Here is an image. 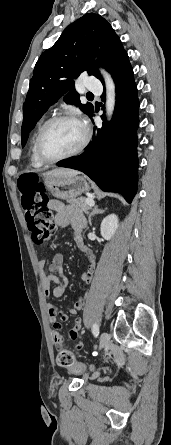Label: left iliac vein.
<instances>
[{
  "mask_svg": "<svg viewBox=\"0 0 171 445\" xmlns=\"http://www.w3.org/2000/svg\"><path fill=\"white\" fill-rule=\"evenodd\" d=\"M109 343H110V336L108 335V333L106 332L101 333L99 339V349L107 347Z\"/></svg>",
  "mask_w": 171,
  "mask_h": 445,
  "instance_id": "obj_1",
  "label": "left iliac vein"
}]
</instances>
